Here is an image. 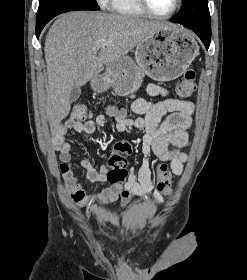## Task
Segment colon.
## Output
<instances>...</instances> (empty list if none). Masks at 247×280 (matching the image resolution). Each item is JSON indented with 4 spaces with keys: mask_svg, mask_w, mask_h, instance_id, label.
Segmentation results:
<instances>
[{
    "mask_svg": "<svg viewBox=\"0 0 247 280\" xmlns=\"http://www.w3.org/2000/svg\"><path fill=\"white\" fill-rule=\"evenodd\" d=\"M196 89L195 72L187 70L178 84L177 91L182 97L191 96ZM111 114L127 117L126 113L112 109ZM88 106L84 103L76 104L72 110V118L76 121H85L90 117ZM132 146L127 142H118L115 145L116 153L108 161V189L118 191L124 186V181L128 178L127 161L124 155L132 153ZM171 176L166 164H160L157 168V189L160 193L168 194L170 192Z\"/></svg>",
    "mask_w": 247,
    "mask_h": 280,
    "instance_id": "5ec220e1",
    "label": "colon"
}]
</instances>
